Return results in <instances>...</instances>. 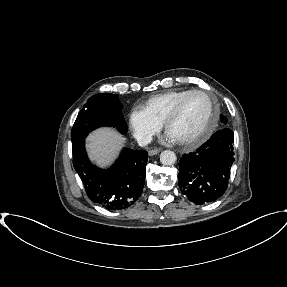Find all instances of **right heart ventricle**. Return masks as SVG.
Listing matches in <instances>:
<instances>
[{
    "instance_id": "obj_1",
    "label": "right heart ventricle",
    "mask_w": 287,
    "mask_h": 287,
    "mask_svg": "<svg viewBox=\"0 0 287 287\" xmlns=\"http://www.w3.org/2000/svg\"><path fill=\"white\" fill-rule=\"evenodd\" d=\"M191 89H173L154 95L142 102L139 109L150 119L158 124H162L165 116L176 104V102L188 94Z\"/></svg>"
}]
</instances>
